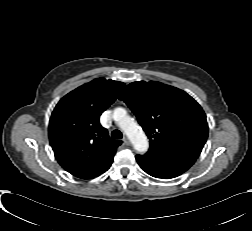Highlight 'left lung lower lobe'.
Here are the masks:
<instances>
[{
  "label": "left lung lower lobe",
  "instance_id": "0a47b994",
  "mask_svg": "<svg viewBox=\"0 0 252 231\" xmlns=\"http://www.w3.org/2000/svg\"><path fill=\"white\" fill-rule=\"evenodd\" d=\"M196 157L178 152L150 151L145 155H136L140 167L156 178L170 179L188 170L196 161Z\"/></svg>",
  "mask_w": 252,
  "mask_h": 231
}]
</instances>
